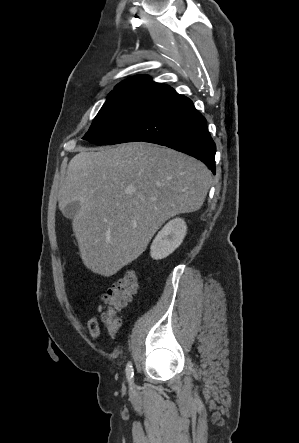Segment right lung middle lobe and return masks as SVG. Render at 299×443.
I'll return each mask as SVG.
<instances>
[{
  "mask_svg": "<svg viewBox=\"0 0 299 443\" xmlns=\"http://www.w3.org/2000/svg\"><path fill=\"white\" fill-rule=\"evenodd\" d=\"M166 90L160 87H144L112 91L83 139L96 145L109 144Z\"/></svg>",
  "mask_w": 299,
  "mask_h": 443,
  "instance_id": "1",
  "label": "right lung middle lobe"
}]
</instances>
